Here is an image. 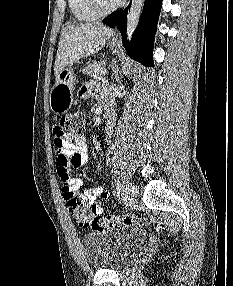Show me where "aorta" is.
<instances>
[{"label": "aorta", "mask_w": 233, "mask_h": 286, "mask_svg": "<svg viewBox=\"0 0 233 286\" xmlns=\"http://www.w3.org/2000/svg\"><path fill=\"white\" fill-rule=\"evenodd\" d=\"M144 0H132L127 14V37L131 39L132 34L140 18Z\"/></svg>", "instance_id": "762f6f07"}]
</instances>
